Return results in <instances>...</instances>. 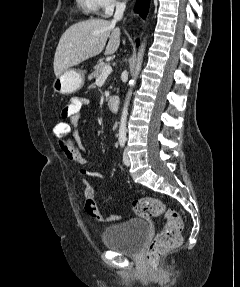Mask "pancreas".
<instances>
[{"label": "pancreas", "instance_id": "obj_1", "mask_svg": "<svg viewBox=\"0 0 240 287\" xmlns=\"http://www.w3.org/2000/svg\"><path fill=\"white\" fill-rule=\"evenodd\" d=\"M106 65L107 63H105L104 61L99 62L97 65L94 66L93 71L91 72L88 78L91 80L93 78L99 77L100 74L102 73L104 66Z\"/></svg>", "mask_w": 240, "mask_h": 287}]
</instances>
